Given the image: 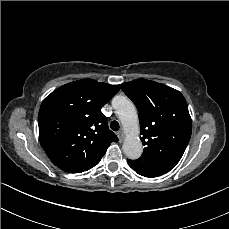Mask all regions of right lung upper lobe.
Masks as SVG:
<instances>
[{
	"label": "right lung upper lobe",
	"mask_w": 229,
	"mask_h": 229,
	"mask_svg": "<svg viewBox=\"0 0 229 229\" xmlns=\"http://www.w3.org/2000/svg\"><path fill=\"white\" fill-rule=\"evenodd\" d=\"M119 91L116 85L82 79L48 95L38 114L39 139L49 159L69 173L89 170L99 163L111 142L101 108Z\"/></svg>",
	"instance_id": "right-lung-upper-lobe-1"
}]
</instances>
